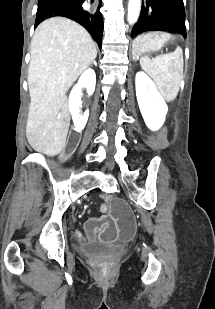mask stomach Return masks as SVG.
Masks as SVG:
<instances>
[{"mask_svg": "<svg viewBox=\"0 0 215 309\" xmlns=\"http://www.w3.org/2000/svg\"><path fill=\"white\" fill-rule=\"evenodd\" d=\"M176 46L175 37L167 32L153 31L137 36L132 43V56L135 59L161 51L164 47ZM176 50L180 52L177 47Z\"/></svg>", "mask_w": 215, "mask_h": 309, "instance_id": "obj_1", "label": "stomach"}]
</instances>
